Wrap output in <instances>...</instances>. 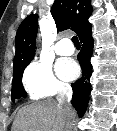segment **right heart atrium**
<instances>
[{
  "label": "right heart atrium",
  "instance_id": "obj_1",
  "mask_svg": "<svg viewBox=\"0 0 117 131\" xmlns=\"http://www.w3.org/2000/svg\"><path fill=\"white\" fill-rule=\"evenodd\" d=\"M23 84L33 99L54 96L68 88L54 75L51 66L42 61H33L28 65L23 74Z\"/></svg>",
  "mask_w": 117,
  "mask_h": 131
}]
</instances>
